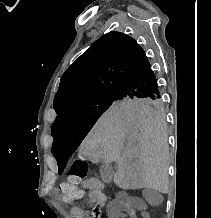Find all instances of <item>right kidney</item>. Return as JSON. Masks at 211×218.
<instances>
[{"label": "right kidney", "instance_id": "1", "mask_svg": "<svg viewBox=\"0 0 211 218\" xmlns=\"http://www.w3.org/2000/svg\"><path fill=\"white\" fill-rule=\"evenodd\" d=\"M119 201H112V206H108V217L110 218H138L132 215L139 211L136 202H142L143 197H131V193H116Z\"/></svg>", "mask_w": 211, "mask_h": 218}]
</instances>
